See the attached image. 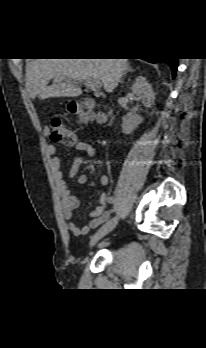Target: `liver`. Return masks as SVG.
<instances>
[{
    "label": "liver",
    "mask_w": 206,
    "mask_h": 348,
    "mask_svg": "<svg viewBox=\"0 0 206 348\" xmlns=\"http://www.w3.org/2000/svg\"><path fill=\"white\" fill-rule=\"evenodd\" d=\"M128 59H32L26 66V89L34 99L77 97V81L99 80L111 93L128 67ZM51 79L55 83L48 85Z\"/></svg>",
    "instance_id": "liver-1"
}]
</instances>
